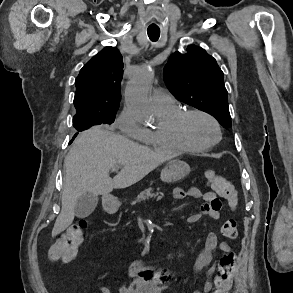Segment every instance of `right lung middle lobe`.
Listing matches in <instances>:
<instances>
[{
	"mask_svg": "<svg viewBox=\"0 0 293 293\" xmlns=\"http://www.w3.org/2000/svg\"><path fill=\"white\" fill-rule=\"evenodd\" d=\"M116 111L111 112H92V111H78L73 117V126L77 131H83L93 125L102 123L111 124L115 120Z\"/></svg>",
	"mask_w": 293,
	"mask_h": 293,
	"instance_id": "1",
	"label": "right lung middle lobe"
}]
</instances>
